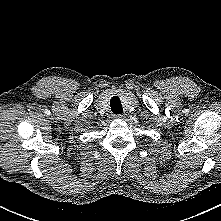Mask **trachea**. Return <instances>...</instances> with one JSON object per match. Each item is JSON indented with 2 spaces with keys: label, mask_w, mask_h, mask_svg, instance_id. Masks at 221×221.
<instances>
[{
  "label": "trachea",
  "mask_w": 221,
  "mask_h": 221,
  "mask_svg": "<svg viewBox=\"0 0 221 221\" xmlns=\"http://www.w3.org/2000/svg\"><path fill=\"white\" fill-rule=\"evenodd\" d=\"M110 106H111V110L114 114L123 113L121 100L117 96H114V97L111 98Z\"/></svg>",
  "instance_id": "trachea-1"
}]
</instances>
